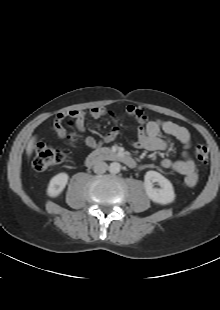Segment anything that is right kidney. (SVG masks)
Returning a JSON list of instances; mask_svg holds the SVG:
<instances>
[{
	"mask_svg": "<svg viewBox=\"0 0 220 310\" xmlns=\"http://www.w3.org/2000/svg\"><path fill=\"white\" fill-rule=\"evenodd\" d=\"M69 176L67 173H59L51 178L48 188H47V194L50 197H57L61 194V192L64 190L65 186L67 185Z\"/></svg>",
	"mask_w": 220,
	"mask_h": 310,
	"instance_id": "ca27d5eb",
	"label": "right kidney"
}]
</instances>
